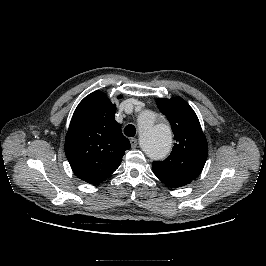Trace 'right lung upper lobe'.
Wrapping results in <instances>:
<instances>
[{
  "instance_id": "obj_1",
  "label": "right lung upper lobe",
  "mask_w": 266,
  "mask_h": 266,
  "mask_svg": "<svg viewBox=\"0 0 266 266\" xmlns=\"http://www.w3.org/2000/svg\"><path fill=\"white\" fill-rule=\"evenodd\" d=\"M115 112L107 96L95 91L79 103L66 134L65 154L70 166L78 178L90 184L109 177L130 148L114 119Z\"/></svg>"
}]
</instances>
